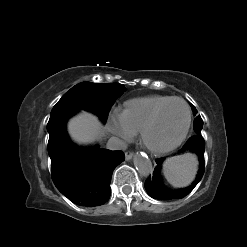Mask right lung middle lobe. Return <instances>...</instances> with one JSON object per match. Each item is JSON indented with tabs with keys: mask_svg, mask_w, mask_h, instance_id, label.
Returning <instances> with one entry per match:
<instances>
[{
	"mask_svg": "<svg viewBox=\"0 0 247 247\" xmlns=\"http://www.w3.org/2000/svg\"><path fill=\"white\" fill-rule=\"evenodd\" d=\"M125 90V86L119 83L81 82L61 97L53 107L51 115L85 109L96 113L106 122L111 106Z\"/></svg>",
	"mask_w": 247,
	"mask_h": 247,
	"instance_id": "dd1d6c3e",
	"label": "right lung middle lobe"
}]
</instances>
